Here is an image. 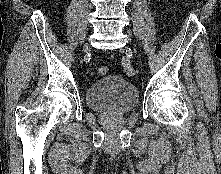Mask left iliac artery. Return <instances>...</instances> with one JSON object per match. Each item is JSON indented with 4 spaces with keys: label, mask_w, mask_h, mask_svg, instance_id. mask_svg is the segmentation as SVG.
I'll use <instances>...</instances> for the list:
<instances>
[{
    "label": "left iliac artery",
    "mask_w": 221,
    "mask_h": 174,
    "mask_svg": "<svg viewBox=\"0 0 221 174\" xmlns=\"http://www.w3.org/2000/svg\"><path fill=\"white\" fill-rule=\"evenodd\" d=\"M121 64L125 70V72L128 74V75H134L135 74V70L133 69L132 65H131V62H130V59L129 57L127 56H123L122 57V60H121Z\"/></svg>",
    "instance_id": "obj_1"
}]
</instances>
